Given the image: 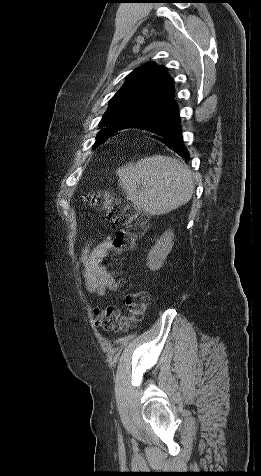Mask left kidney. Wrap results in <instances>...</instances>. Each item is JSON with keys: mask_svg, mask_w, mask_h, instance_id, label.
<instances>
[{"mask_svg": "<svg viewBox=\"0 0 261 476\" xmlns=\"http://www.w3.org/2000/svg\"><path fill=\"white\" fill-rule=\"evenodd\" d=\"M174 234L171 230L166 231L156 241L147 255V266L156 271L160 269L173 247Z\"/></svg>", "mask_w": 261, "mask_h": 476, "instance_id": "left-kidney-1", "label": "left kidney"}]
</instances>
